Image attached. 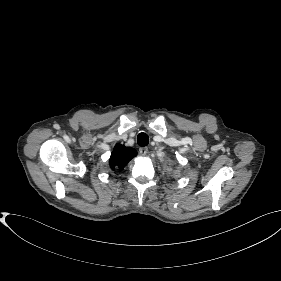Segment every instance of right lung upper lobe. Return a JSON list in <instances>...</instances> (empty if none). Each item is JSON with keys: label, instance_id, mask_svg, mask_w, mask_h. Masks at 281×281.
<instances>
[{"label": "right lung upper lobe", "instance_id": "right-lung-upper-lobe-1", "mask_svg": "<svg viewBox=\"0 0 281 281\" xmlns=\"http://www.w3.org/2000/svg\"><path fill=\"white\" fill-rule=\"evenodd\" d=\"M136 155L137 151L135 149L116 144L109 160L110 168L112 170H122Z\"/></svg>", "mask_w": 281, "mask_h": 281}]
</instances>
